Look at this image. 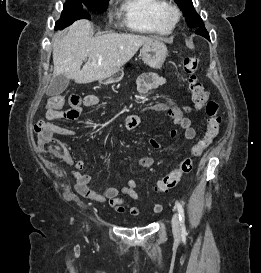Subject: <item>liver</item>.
Segmentation results:
<instances>
[{
	"mask_svg": "<svg viewBox=\"0 0 261 273\" xmlns=\"http://www.w3.org/2000/svg\"><path fill=\"white\" fill-rule=\"evenodd\" d=\"M152 40L124 33L93 37L92 23L78 20L66 35L56 33L52 40L53 76L65 75L78 84L106 79L125 65L144 43ZM84 60L87 62L81 69Z\"/></svg>",
	"mask_w": 261,
	"mask_h": 273,
	"instance_id": "liver-1",
	"label": "liver"
}]
</instances>
